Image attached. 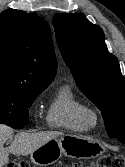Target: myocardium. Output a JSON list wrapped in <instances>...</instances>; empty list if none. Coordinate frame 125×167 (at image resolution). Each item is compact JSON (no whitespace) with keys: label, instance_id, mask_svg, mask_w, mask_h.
Segmentation results:
<instances>
[{"label":"myocardium","instance_id":"1","mask_svg":"<svg viewBox=\"0 0 125 167\" xmlns=\"http://www.w3.org/2000/svg\"><path fill=\"white\" fill-rule=\"evenodd\" d=\"M83 118L86 121L89 128H92L98 123L97 112L91 107H85L83 110Z\"/></svg>","mask_w":125,"mask_h":167}]
</instances>
